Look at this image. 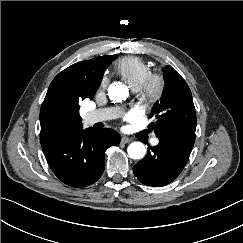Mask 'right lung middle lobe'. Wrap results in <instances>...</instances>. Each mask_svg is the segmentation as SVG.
Returning a JSON list of instances; mask_svg holds the SVG:
<instances>
[{"label":"right lung middle lobe","instance_id":"1","mask_svg":"<svg viewBox=\"0 0 243 243\" xmlns=\"http://www.w3.org/2000/svg\"><path fill=\"white\" fill-rule=\"evenodd\" d=\"M117 58V55H113V58L111 59L112 61Z\"/></svg>","mask_w":243,"mask_h":243}]
</instances>
